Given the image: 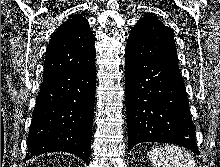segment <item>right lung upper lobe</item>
Wrapping results in <instances>:
<instances>
[{
  "mask_svg": "<svg viewBox=\"0 0 220 167\" xmlns=\"http://www.w3.org/2000/svg\"><path fill=\"white\" fill-rule=\"evenodd\" d=\"M94 35L88 21L74 16L54 32L44 61V77L85 69L95 63Z\"/></svg>",
  "mask_w": 220,
  "mask_h": 167,
  "instance_id": "1",
  "label": "right lung upper lobe"
}]
</instances>
